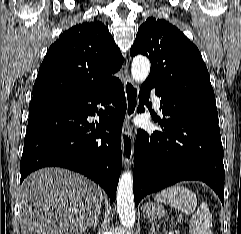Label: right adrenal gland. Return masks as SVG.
Returning a JSON list of instances; mask_svg holds the SVG:
<instances>
[{"mask_svg": "<svg viewBox=\"0 0 241 234\" xmlns=\"http://www.w3.org/2000/svg\"><path fill=\"white\" fill-rule=\"evenodd\" d=\"M99 216H100V212L95 216L94 221H93V223H92V225H91V226H93L94 228L97 227L98 217H99ZM91 226H90V227H91Z\"/></svg>", "mask_w": 241, "mask_h": 234, "instance_id": "1", "label": "right adrenal gland"}]
</instances>
